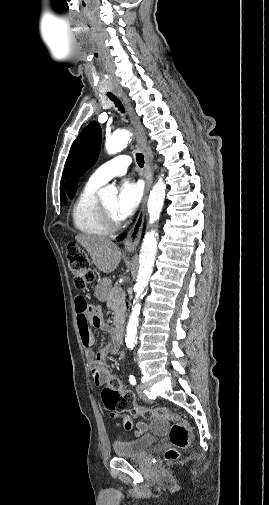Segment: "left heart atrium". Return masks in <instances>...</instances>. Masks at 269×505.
I'll list each match as a JSON object with an SVG mask.
<instances>
[{"label":"left heart atrium","mask_w":269,"mask_h":505,"mask_svg":"<svg viewBox=\"0 0 269 505\" xmlns=\"http://www.w3.org/2000/svg\"><path fill=\"white\" fill-rule=\"evenodd\" d=\"M142 198V188L138 183L124 180L117 196L115 214L119 220L131 216L137 209Z\"/></svg>","instance_id":"39dd6f15"}]
</instances>
